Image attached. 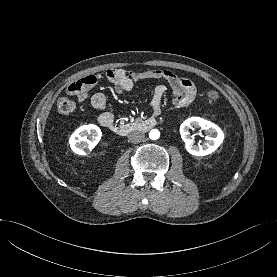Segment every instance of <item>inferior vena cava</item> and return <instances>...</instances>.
Listing matches in <instances>:
<instances>
[{
  "label": "inferior vena cava",
  "instance_id": "inferior-vena-cava-1",
  "mask_svg": "<svg viewBox=\"0 0 277 277\" xmlns=\"http://www.w3.org/2000/svg\"><path fill=\"white\" fill-rule=\"evenodd\" d=\"M145 139V135L139 131H134L128 135V140L131 143H139Z\"/></svg>",
  "mask_w": 277,
  "mask_h": 277
}]
</instances>
